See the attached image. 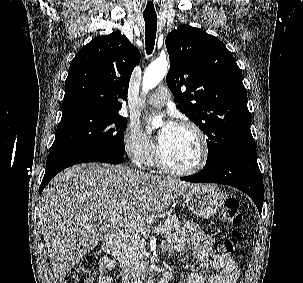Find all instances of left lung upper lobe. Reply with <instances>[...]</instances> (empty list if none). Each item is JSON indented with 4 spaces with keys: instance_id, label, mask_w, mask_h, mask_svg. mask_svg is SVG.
<instances>
[{
    "instance_id": "1",
    "label": "left lung upper lobe",
    "mask_w": 303,
    "mask_h": 283,
    "mask_svg": "<svg viewBox=\"0 0 303 283\" xmlns=\"http://www.w3.org/2000/svg\"><path fill=\"white\" fill-rule=\"evenodd\" d=\"M166 82L178 107L207 136L206 163L255 144L242 72L226 46L200 28L180 25L166 37Z\"/></svg>"
}]
</instances>
